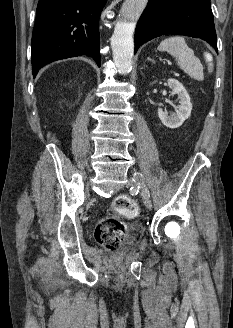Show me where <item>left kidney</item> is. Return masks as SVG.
Segmentation results:
<instances>
[{
    "label": "left kidney",
    "mask_w": 233,
    "mask_h": 328,
    "mask_svg": "<svg viewBox=\"0 0 233 328\" xmlns=\"http://www.w3.org/2000/svg\"><path fill=\"white\" fill-rule=\"evenodd\" d=\"M168 86L174 94L178 95L180 105L176 107V112L171 115L159 108L158 116L166 127L174 129L180 127L190 117L192 104L186 89L178 80L168 79Z\"/></svg>",
    "instance_id": "obj_1"
}]
</instances>
